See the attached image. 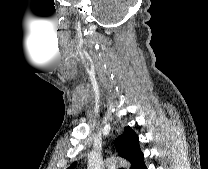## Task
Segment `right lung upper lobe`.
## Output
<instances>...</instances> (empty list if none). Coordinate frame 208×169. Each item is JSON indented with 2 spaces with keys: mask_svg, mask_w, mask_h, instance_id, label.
Masks as SVG:
<instances>
[{
  "mask_svg": "<svg viewBox=\"0 0 208 169\" xmlns=\"http://www.w3.org/2000/svg\"><path fill=\"white\" fill-rule=\"evenodd\" d=\"M116 148L120 157L126 159L131 164V169L144 159V155L139 147L138 135L129 127H125L124 133L116 139ZM76 162L68 169H74Z\"/></svg>",
  "mask_w": 208,
  "mask_h": 169,
  "instance_id": "right-lung-upper-lobe-1",
  "label": "right lung upper lobe"
}]
</instances>
